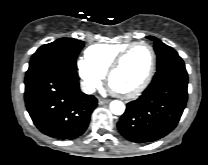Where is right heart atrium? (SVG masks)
I'll list each match as a JSON object with an SVG mask.
<instances>
[{"label": "right heart atrium", "instance_id": "right-heart-atrium-1", "mask_svg": "<svg viewBox=\"0 0 208 165\" xmlns=\"http://www.w3.org/2000/svg\"><path fill=\"white\" fill-rule=\"evenodd\" d=\"M76 67L81 86L85 91H92L96 86L99 85L102 79V74H100L93 66H91L85 58H78Z\"/></svg>", "mask_w": 208, "mask_h": 165}]
</instances>
